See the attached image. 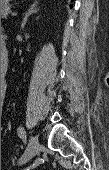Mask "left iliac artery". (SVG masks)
<instances>
[{"label": "left iliac artery", "instance_id": "left-iliac-artery-1", "mask_svg": "<svg viewBox=\"0 0 109 170\" xmlns=\"http://www.w3.org/2000/svg\"><path fill=\"white\" fill-rule=\"evenodd\" d=\"M17 133H18V136L20 138H24L25 137V129H24V127H22V126L18 127Z\"/></svg>", "mask_w": 109, "mask_h": 170}]
</instances>
